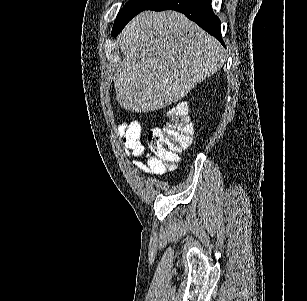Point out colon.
Listing matches in <instances>:
<instances>
[{"instance_id":"5ec220e1","label":"colon","mask_w":307,"mask_h":301,"mask_svg":"<svg viewBox=\"0 0 307 301\" xmlns=\"http://www.w3.org/2000/svg\"><path fill=\"white\" fill-rule=\"evenodd\" d=\"M165 115L167 123L163 128L152 129L147 143L155 155L167 169H174L178 163V155L187 149L194 136V127L185 102H177L170 106Z\"/></svg>"}]
</instances>
